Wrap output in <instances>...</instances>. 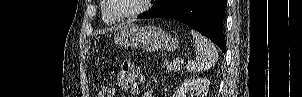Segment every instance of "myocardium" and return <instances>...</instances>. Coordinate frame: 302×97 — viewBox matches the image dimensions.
<instances>
[{
	"instance_id": "obj_1",
	"label": "myocardium",
	"mask_w": 302,
	"mask_h": 97,
	"mask_svg": "<svg viewBox=\"0 0 302 97\" xmlns=\"http://www.w3.org/2000/svg\"><path fill=\"white\" fill-rule=\"evenodd\" d=\"M150 3L151 0H141L140 6L133 12L125 15H117L111 9L110 0H104L105 12L115 21H125L143 14L148 10Z\"/></svg>"
}]
</instances>
